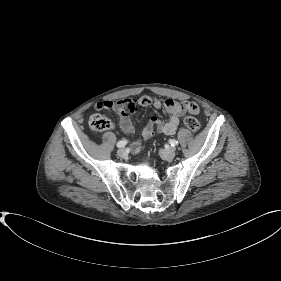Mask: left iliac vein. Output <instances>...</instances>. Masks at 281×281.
<instances>
[{"label": "left iliac vein", "instance_id": "obj_1", "mask_svg": "<svg viewBox=\"0 0 281 281\" xmlns=\"http://www.w3.org/2000/svg\"><path fill=\"white\" fill-rule=\"evenodd\" d=\"M160 155L165 160H172L176 156V149L174 147L169 149H161Z\"/></svg>", "mask_w": 281, "mask_h": 281}]
</instances>
